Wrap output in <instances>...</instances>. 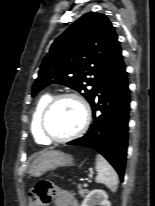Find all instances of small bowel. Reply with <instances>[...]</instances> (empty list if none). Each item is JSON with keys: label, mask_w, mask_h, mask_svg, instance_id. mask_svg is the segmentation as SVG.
<instances>
[{"label": "small bowel", "mask_w": 155, "mask_h": 206, "mask_svg": "<svg viewBox=\"0 0 155 206\" xmlns=\"http://www.w3.org/2000/svg\"><path fill=\"white\" fill-rule=\"evenodd\" d=\"M56 206H78L76 198L73 194L65 189L57 188L54 191ZM34 206H40L35 202Z\"/></svg>", "instance_id": "c3829d8e"}]
</instances>
